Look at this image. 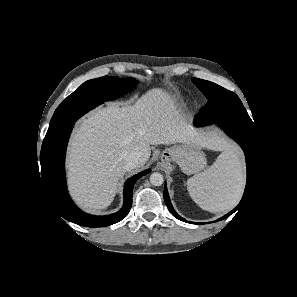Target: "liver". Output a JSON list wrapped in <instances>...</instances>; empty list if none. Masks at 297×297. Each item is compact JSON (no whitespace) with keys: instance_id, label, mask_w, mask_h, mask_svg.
Returning <instances> with one entry per match:
<instances>
[{"instance_id":"obj_1","label":"liver","mask_w":297,"mask_h":297,"mask_svg":"<svg viewBox=\"0 0 297 297\" xmlns=\"http://www.w3.org/2000/svg\"><path fill=\"white\" fill-rule=\"evenodd\" d=\"M186 143L217 149V140L201 136L186 122L173 99L155 88L133 106L108 104L79 122L68 148L67 169L70 193L89 211L108 207L126 173L124 163L132 152L151 155L150 145Z\"/></svg>"}]
</instances>
